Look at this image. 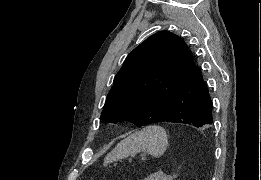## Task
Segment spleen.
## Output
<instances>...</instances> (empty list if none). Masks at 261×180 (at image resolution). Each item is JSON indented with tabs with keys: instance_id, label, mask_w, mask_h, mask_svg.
Listing matches in <instances>:
<instances>
[{
	"instance_id": "1",
	"label": "spleen",
	"mask_w": 261,
	"mask_h": 180,
	"mask_svg": "<svg viewBox=\"0 0 261 180\" xmlns=\"http://www.w3.org/2000/svg\"><path fill=\"white\" fill-rule=\"evenodd\" d=\"M168 138L161 126H146L141 132L131 134L125 140H121L116 148L107 156L108 162L123 160L128 156H136L140 152H146L153 158H161L167 150Z\"/></svg>"
}]
</instances>
